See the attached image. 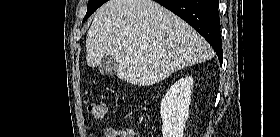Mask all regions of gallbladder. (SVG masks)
Masks as SVG:
<instances>
[{
	"label": "gallbladder",
	"mask_w": 280,
	"mask_h": 137,
	"mask_svg": "<svg viewBox=\"0 0 280 137\" xmlns=\"http://www.w3.org/2000/svg\"><path fill=\"white\" fill-rule=\"evenodd\" d=\"M119 63L114 56L105 55L100 64H99V71L102 75H114L117 72Z\"/></svg>",
	"instance_id": "obj_1"
}]
</instances>
